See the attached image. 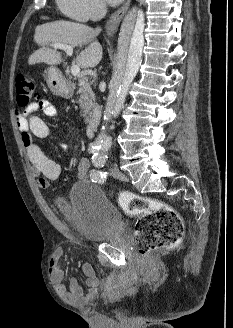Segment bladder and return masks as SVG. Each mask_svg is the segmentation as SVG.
<instances>
[{"mask_svg":"<svg viewBox=\"0 0 233 328\" xmlns=\"http://www.w3.org/2000/svg\"><path fill=\"white\" fill-rule=\"evenodd\" d=\"M64 218L86 240L100 242L123 228L122 217L103 190L90 181L75 182L58 201Z\"/></svg>","mask_w":233,"mask_h":328,"instance_id":"obj_1","label":"bladder"}]
</instances>
